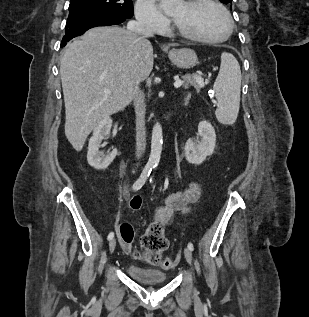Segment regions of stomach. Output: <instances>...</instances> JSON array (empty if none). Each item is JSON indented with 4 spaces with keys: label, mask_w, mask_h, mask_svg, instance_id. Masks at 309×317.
Returning a JSON list of instances; mask_svg holds the SVG:
<instances>
[{
    "label": "stomach",
    "mask_w": 309,
    "mask_h": 317,
    "mask_svg": "<svg viewBox=\"0 0 309 317\" xmlns=\"http://www.w3.org/2000/svg\"><path fill=\"white\" fill-rule=\"evenodd\" d=\"M168 56L171 62L181 69H190L198 63L196 52L190 48L172 49Z\"/></svg>",
    "instance_id": "0dacf381"
}]
</instances>
